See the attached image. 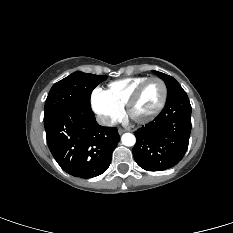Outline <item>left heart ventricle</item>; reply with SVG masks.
Instances as JSON below:
<instances>
[{
  "label": "left heart ventricle",
  "mask_w": 233,
  "mask_h": 233,
  "mask_svg": "<svg viewBox=\"0 0 233 233\" xmlns=\"http://www.w3.org/2000/svg\"><path fill=\"white\" fill-rule=\"evenodd\" d=\"M163 94L162 85L158 81L148 83L135 103L132 113L135 117H144L153 112L159 105Z\"/></svg>",
  "instance_id": "left-heart-ventricle-1"
}]
</instances>
